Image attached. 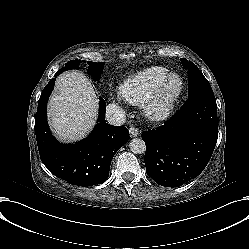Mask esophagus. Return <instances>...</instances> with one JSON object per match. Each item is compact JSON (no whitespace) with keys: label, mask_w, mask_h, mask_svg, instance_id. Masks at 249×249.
I'll return each mask as SVG.
<instances>
[{"label":"esophagus","mask_w":249,"mask_h":249,"mask_svg":"<svg viewBox=\"0 0 249 249\" xmlns=\"http://www.w3.org/2000/svg\"><path fill=\"white\" fill-rule=\"evenodd\" d=\"M129 132L131 137H136L139 135V130L134 126H130Z\"/></svg>","instance_id":"34e87169"}]
</instances>
